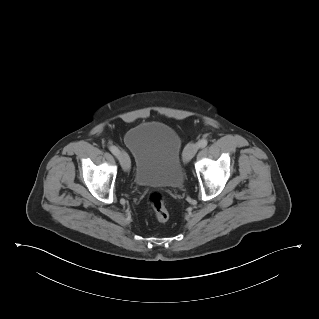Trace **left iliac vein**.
<instances>
[{
  "mask_svg": "<svg viewBox=\"0 0 319 319\" xmlns=\"http://www.w3.org/2000/svg\"><path fill=\"white\" fill-rule=\"evenodd\" d=\"M198 144L197 143H189L184 150L183 153V160L185 163L189 162L194 155L196 154V152L198 151Z\"/></svg>",
  "mask_w": 319,
  "mask_h": 319,
  "instance_id": "left-iliac-vein-1",
  "label": "left iliac vein"
}]
</instances>
